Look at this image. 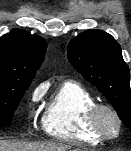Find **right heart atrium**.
<instances>
[{
  "label": "right heart atrium",
  "mask_w": 131,
  "mask_h": 151,
  "mask_svg": "<svg viewBox=\"0 0 131 151\" xmlns=\"http://www.w3.org/2000/svg\"><path fill=\"white\" fill-rule=\"evenodd\" d=\"M40 95H41V89L40 88L35 89L32 93V100L37 101Z\"/></svg>",
  "instance_id": "right-heart-atrium-1"
}]
</instances>
